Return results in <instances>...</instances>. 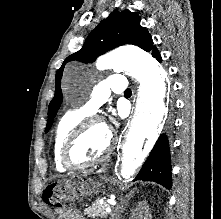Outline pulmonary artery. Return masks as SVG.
<instances>
[{
	"mask_svg": "<svg viewBox=\"0 0 221 219\" xmlns=\"http://www.w3.org/2000/svg\"><path fill=\"white\" fill-rule=\"evenodd\" d=\"M126 90V77L122 74L112 75L96 86L88 101L79 110L92 114L108 100L111 93L123 94Z\"/></svg>",
	"mask_w": 221,
	"mask_h": 219,
	"instance_id": "pulmonary-artery-1",
	"label": "pulmonary artery"
}]
</instances>
